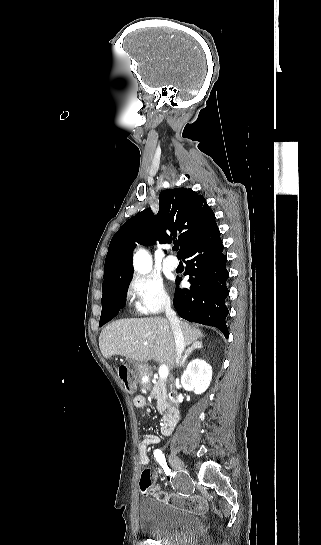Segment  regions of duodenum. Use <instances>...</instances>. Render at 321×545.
Masks as SVG:
<instances>
[{"mask_svg":"<svg viewBox=\"0 0 321 545\" xmlns=\"http://www.w3.org/2000/svg\"><path fill=\"white\" fill-rule=\"evenodd\" d=\"M180 416L179 408L176 405H172L167 410L161 423V433L163 435H170L174 430Z\"/></svg>","mask_w":321,"mask_h":545,"instance_id":"obj_1","label":"duodenum"}]
</instances>
